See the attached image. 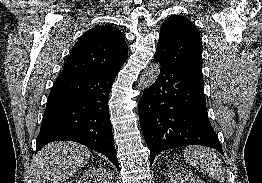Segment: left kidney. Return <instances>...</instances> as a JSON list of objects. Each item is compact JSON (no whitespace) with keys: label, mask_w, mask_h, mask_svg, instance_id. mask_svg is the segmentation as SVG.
Returning <instances> with one entry per match:
<instances>
[{"label":"left kidney","mask_w":262,"mask_h":183,"mask_svg":"<svg viewBox=\"0 0 262 183\" xmlns=\"http://www.w3.org/2000/svg\"><path fill=\"white\" fill-rule=\"evenodd\" d=\"M169 183H205L191 171L178 167L169 172Z\"/></svg>","instance_id":"obj_1"}]
</instances>
